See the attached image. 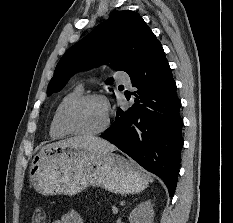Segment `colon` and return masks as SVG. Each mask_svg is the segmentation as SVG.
<instances>
[{
  "instance_id": "1",
  "label": "colon",
  "mask_w": 233,
  "mask_h": 223,
  "mask_svg": "<svg viewBox=\"0 0 233 223\" xmlns=\"http://www.w3.org/2000/svg\"><path fill=\"white\" fill-rule=\"evenodd\" d=\"M39 213H35L33 218V223H44V215L41 214V209L38 210Z\"/></svg>"
}]
</instances>
